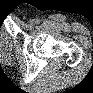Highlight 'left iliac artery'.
Here are the masks:
<instances>
[{
    "label": "left iliac artery",
    "mask_w": 93,
    "mask_h": 93,
    "mask_svg": "<svg viewBox=\"0 0 93 93\" xmlns=\"http://www.w3.org/2000/svg\"><path fill=\"white\" fill-rule=\"evenodd\" d=\"M35 23H36V24H39V23H40V19H38V18L35 19Z\"/></svg>",
    "instance_id": "44dca946"
}]
</instances>
